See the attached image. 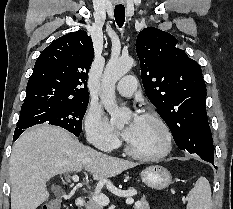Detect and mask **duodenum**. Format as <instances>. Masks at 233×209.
I'll return each instance as SVG.
<instances>
[{"label": "duodenum", "mask_w": 233, "mask_h": 209, "mask_svg": "<svg viewBox=\"0 0 233 209\" xmlns=\"http://www.w3.org/2000/svg\"><path fill=\"white\" fill-rule=\"evenodd\" d=\"M75 205L78 207V208H83L84 205H85V200L83 197H77L76 200H75Z\"/></svg>", "instance_id": "duodenum-1"}]
</instances>
